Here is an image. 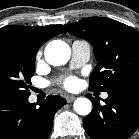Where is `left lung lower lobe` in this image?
I'll use <instances>...</instances> for the list:
<instances>
[{"label":"left lung lower lobe","instance_id":"obj_1","mask_svg":"<svg viewBox=\"0 0 139 139\" xmlns=\"http://www.w3.org/2000/svg\"><path fill=\"white\" fill-rule=\"evenodd\" d=\"M104 104L91 95L92 112L83 119L91 139H127L139 126V78L107 92Z\"/></svg>","mask_w":139,"mask_h":139}]
</instances>
